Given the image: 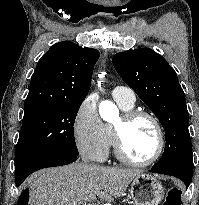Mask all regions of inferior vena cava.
Instances as JSON below:
<instances>
[{
	"label": "inferior vena cava",
	"mask_w": 199,
	"mask_h": 205,
	"mask_svg": "<svg viewBox=\"0 0 199 205\" xmlns=\"http://www.w3.org/2000/svg\"><path fill=\"white\" fill-rule=\"evenodd\" d=\"M82 160H83L84 162H87V158H86V157H83Z\"/></svg>",
	"instance_id": "inferior-vena-cava-1"
}]
</instances>
